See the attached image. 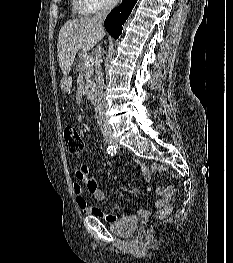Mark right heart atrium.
Returning <instances> with one entry per match:
<instances>
[{"label":"right heart atrium","mask_w":233,"mask_h":263,"mask_svg":"<svg viewBox=\"0 0 233 263\" xmlns=\"http://www.w3.org/2000/svg\"><path fill=\"white\" fill-rule=\"evenodd\" d=\"M119 0H77V7L80 12L90 14L100 9L111 8L117 4Z\"/></svg>","instance_id":"1"}]
</instances>
